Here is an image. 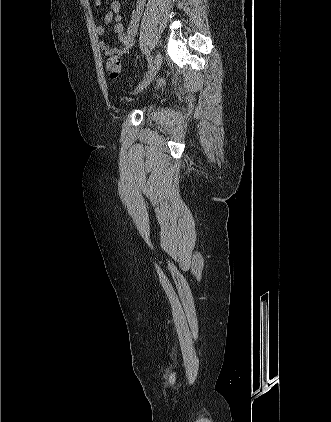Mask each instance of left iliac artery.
I'll use <instances>...</instances> for the list:
<instances>
[{"label": "left iliac artery", "instance_id": "obj_1", "mask_svg": "<svg viewBox=\"0 0 331 422\" xmlns=\"http://www.w3.org/2000/svg\"><path fill=\"white\" fill-rule=\"evenodd\" d=\"M152 61H153V57L152 55L149 53L148 54V68H150L152 66Z\"/></svg>", "mask_w": 331, "mask_h": 422}]
</instances>
